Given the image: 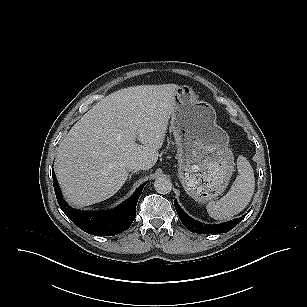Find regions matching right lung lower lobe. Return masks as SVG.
Instances as JSON below:
<instances>
[{
  "mask_svg": "<svg viewBox=\"0 0 307 307\" xmlns=\"http://www.w3.org/2000/svg\"><path fill=\"white\" fill-rule=\"evenodd\" d=\"M53 174V186L57 201L65 215L83 231L96 236H113L127 230L136 217L137 201L146 182L125 202L111 211H79L69 207L61 196L58 183Z\"/></svg>",
  "mask_w": 307,
  "mask_h": 307,
  "instance_id": "right-lung-lower-lobe-1",
  "label": "right lung lower lobe"
}]
</instances>
